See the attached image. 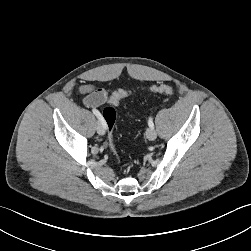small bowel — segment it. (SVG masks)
<instances>
[{"label":"small bowel","instance_id":"small-bowel-1","mask_svg":"<svg viewBox=\"0 0 251 251\" xmlns=\"http://www.w3.org/2000/svg\"><path fill=\"white\" fill-rule=\"evenodd\" d=\"M80 93L84 95L83 103L86 107L96 108L110 101L109 93L101 88H96L94 85L86 84L80 87Z\"/></svg>","mask_w":251,"mask_h":251}]
</instances>
